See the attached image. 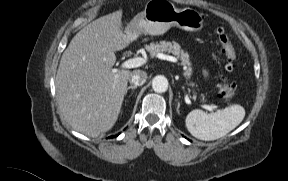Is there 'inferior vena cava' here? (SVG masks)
<instances>
[{
	"mask_svg": "<svg viewBox=\"0 0 288 181\" xmlns=\"http://www.w3.org/2000/svg\"><path fill=\"white\" fill-rule=\"evenodd\" d=\"M147 73L142 70H134L130 76V83L135 86H141L146 82Z\"/></svg>",
	"mask_w": 288,
	"mask_h": 181,
	"instance_id": "inferior-vena-cava-1",
	"label": "inferior vena cava"
}]
</instances>
